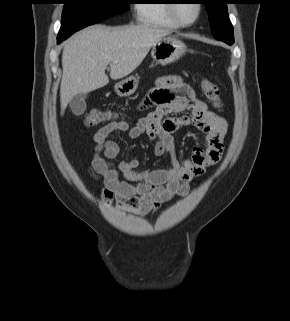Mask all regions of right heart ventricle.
Listing matches in <instances>:
<instances>
[{
	"label": "right heart ventricle",
	"instance_id": "1",
	"mask_svg": "<svg viewBox=\"0 0 290 321\" xmlns=\"http://www.w3.org/2000/svg\"><path fill=\"white\" fill-rule=\"evenodd\" d=\"M169 0H143L136 5L137 21L144 25L177 28L168 10Z\"/></svg>",
	"mask_w": 290,
	"mask_h": 321
}]
</instances>
